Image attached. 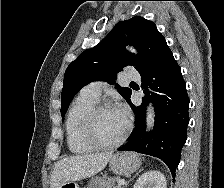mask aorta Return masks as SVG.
I'll list each match as a JSON object with an SVG mask.
<instances>
[{
	"label": "aorta",
	"mask_w": 224,
	"mask_h": 188,
	"mask_svg": "<svg viewBox=\"0 0 224 188\" xmlns=\"http://www.w3.org/2000/svg\"><path fill=\"white\" fill-rule=\"evenodd\" d=\"M131 52H135V50L131 47L129 48ZM154 125V107L152 104H149L146 112V131H150Z\"/></svg>",
	"instance_id": "obj_1"
}]
</instances>
